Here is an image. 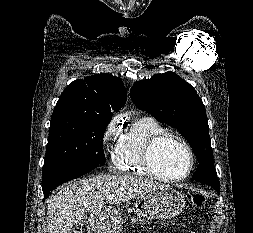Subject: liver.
Listing matches in <instances>:
<instances>
[{"mask_svg": "<svg viewBox=\"0 0 253 233\" xmlns=\"http://www.w3.org/2000/svg\"><path fill=\"white\" fill-rule=\"evenodd\" d=\"M165 186L152 180L133 176L102 174L63 186L47 206L48 233H70L86 214H99L107 195L119 204Z\"/></svg>", "mask_w": 253, "mask_h": 233, "instance_id": "liver-1", "label": "liver"}]
</instances>
